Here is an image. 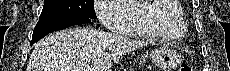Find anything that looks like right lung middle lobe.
Segmentation results:
<instances>
[{
    "mask_svg": "<svg viewBox=\"0 0 230 71\" xmlns=\"http://www.w3.org/2000/svg\"><path fill=\"white\" fill-rule=\"evenodd\" d=\"M71 17L95 19L94 0H45L39 21Z\"/></svg>",
    "mask_w": 230,
    "mask_h": 71,
    "instance_id": "1",
    "label": "right lung middle lobe"
}]
</instances>
